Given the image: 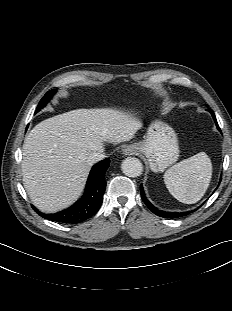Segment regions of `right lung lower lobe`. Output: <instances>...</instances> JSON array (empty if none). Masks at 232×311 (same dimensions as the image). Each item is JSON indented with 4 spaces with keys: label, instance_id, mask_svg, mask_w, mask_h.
<instances>
[{
    "label": "right lung lower lobe",
    "instance_id": "obj_1",
    "mask_svg": "<svg viewBox=\"0 0 232 311\" xmlns=\"http://www.w3.org/2000/svg\"><path fill=\"white\" fill-rule=\"evenodd\" d=\"M109 165L110 160L106 158L93 166L84 195L70 208L55 214H44L34 207L33 209L43 218L60 223L77 224L90 218L99 210L103 202L106 186L104 174Z\"/></svg>",
    "mask_w": 232,
    "mask_h": 311
}]
</instances>
